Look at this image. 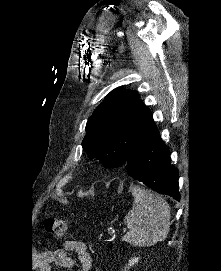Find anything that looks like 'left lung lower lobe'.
I'll list each match as a JSON object with an SVG mask.
<instances>
[{"mask_svg": "<svg viewBox=\"0 0 221 271\" xmlns=\"http://www.w3.org/2000/svg\"><path fill=\"white\" fill-rule=\"evenodd\" d=\"M125 165L135 180L180 201L178 169L171 165L169 149L157 128L132 150Z\"/></svg>", "mask_w": 221, "mask_h": 271, "instance_id": "obj_1", "label": "left lung lower lobe"}]
</instances>
